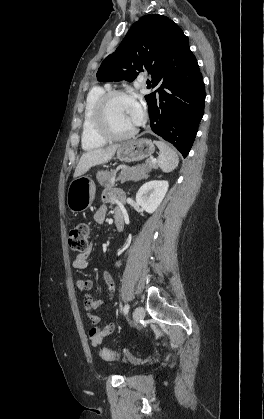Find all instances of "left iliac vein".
<instances>
[{
	"mask_svg": "<svg viewBox=\"0 0 264 419\" xmlns=\"http://www.w3.org/2000/svg\"><path fill=\"white\" fill-rule=\"evenodd\" d=\"M144 316H145V311L143 307L141 306L136 307L133 314L135 323L136 324L139 323L144 318Z\"/></svg>",
	"mask_w": 264,
	"mask_h": 419,
	"instance_id": "4c4485c4",
	"label": "left iliac vein"
}]
</instances>
